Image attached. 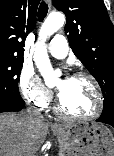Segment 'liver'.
<instances>
[{"instance_id": "6515ba94", "label": "liver", "mask_w": 114, "mask_h": 156, "mask_svg": "<svg viewBox=\"0 0 114 156\" xmlns=\"http://www.w3.org/2000/svg\"><path fill=\"white\" fill-rule=\"evenodd\" d=\"M49 123L25 113L0 114V156H34L45 140Z\"/></svg>"}]
</instances>
